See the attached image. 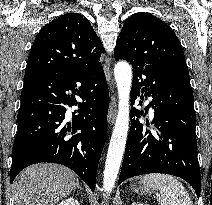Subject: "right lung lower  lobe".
Here are the masks:
<instances>
[{
  "label": "right lung lower lobe",
  "instance_id": "98d812e1",
  "mask_svg": "<svg viewBox=\"0 0 212 205\" xmlns=\"http://www.w3.org/2000/svg\"><path fill=\"white\" fill-rule=\"evenodd\" d=\"M79 96L83 102H77ZM67 106H78L72 121ZM109 93L103 68L48 74L24 82L14 140L11 183L25 167L41 162L65 165L93 191L107 137ZM81 131L77 133L78 131Z\"/></svg>",
  "mask_w": 212,
  "mask_h": 205
}]
</instances>
